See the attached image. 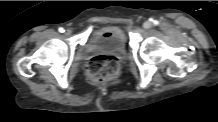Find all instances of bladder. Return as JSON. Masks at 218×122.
Here are the masks:
<instances>
[{
    "label": "bladder",
    "mask_w": 218,
    "mask_h": 122,
    "mask_svg": "<svg viewBox=\"0 0 218 122\" xmlns=\"http://www.w3.org/2000/svg\"><path fill=\"white\" fill-rule=\"evenodd\" d=\"M87 47L91 50L124 52L126 37L123 30L118 26H105L95 30L88 42Z\"/></svg>",
    "instance_id": "31cf9c89"
}]
</instances>
